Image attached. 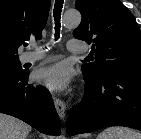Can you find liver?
Listing matches in <instances>:
<instances>
[{
    "label": "liver",
    "mask_w": 141,
    "mask_h": 139,
    "mask_svg": "<svg viewBox=\"0 0 141 139\" xmlns=\"http://www.w3.org/2000/svg\"><path fill=\"white\" fill-rule=\"evenodd\" d=\"M31 126L10 115L0 113V139H27Z\"/></svg>",
    "instance_id": "6515ba94"
}]
</instances>
